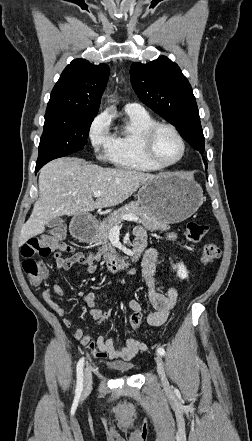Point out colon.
Masks as SVG:
<instances>
[{
  "label": "colon",
  "mask_w": 252,
  "mask_h": 441,
  "mask_svg": "<svg viewBox=\"0 0 252 441\" xmlns=\"http://www.w3.org/2000/svg\"><path fill=\"white\" fill-rule=\"evenodd\" d=\"M208 227L204 224L190 221L186 226L187 237L192 242H199L207 233ZM65 229L62 226H56L46 233L28 240L21 248L22 267L30 282L34 286H39L47 277L46 266L34 259V256L47 257L56 251H64L67 245L64 242ZM221 255L219 246L215 243H206L201 253L203 264L215 262ZM114 311L107 309L101 312L99 321L105 322L111 319ZM128 323L132 329H140L142 326V311L130 310ZM89 351L95 358H105L106 354L94 346L89 345Z\"/></svg>",
  "instance_id": "1"
}]
</instances>
